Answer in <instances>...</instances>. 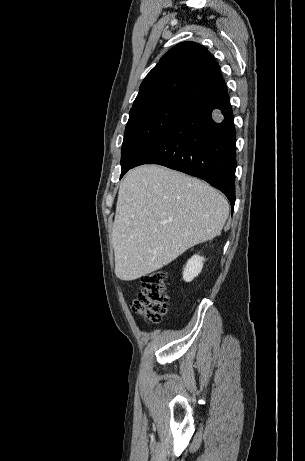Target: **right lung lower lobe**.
<instances>
[{"label":"right lung lower lobe","mask_w":305,"mask_h":461,"mask_svg":"<svg viewBox=\"0 0 305 461\" xmlns=\"http://www.w3.org/2000/svg\"><path fill=\"white\" fill-rule=\"evenodd\" d=\"M236 132L226 86L190 106L164 138L121 177L141 164H159L207 181L235 201ZM120 177V178H121Z\"/></svg>","instance_id":"98d812e1"}]
</instances>
